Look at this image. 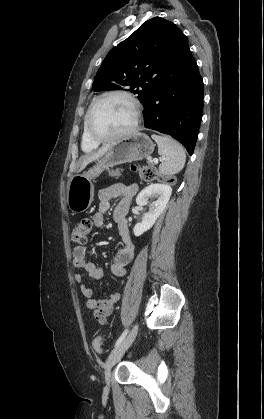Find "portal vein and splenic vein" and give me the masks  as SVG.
Masks as SVG:
<instances>
[{
	"instance_id": "portal-vein-and-splenic-vein-1",
	"label": "portal vein and splenic vein",
	"mask_w": 264,
	"mask_h": 419,
	"mask_svg": "<svg viewBox=\"0 0 264 419\" xmlns=\"http://www.w3.org/2000/svg\"><path fill=\"white\" fill-rule=\"evenodd\" d=\"M152 162H154L155 164H157L159 162V160L157 158L153 159Z\"/></svg>"
}]
</instances>
